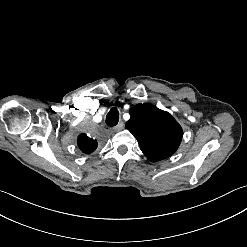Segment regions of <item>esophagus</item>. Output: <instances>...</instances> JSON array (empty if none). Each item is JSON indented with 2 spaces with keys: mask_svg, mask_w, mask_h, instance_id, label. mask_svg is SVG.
Masks as SVG:
<instances>
[{
  "mask_svg": "<svg viewBox=\"0 0 247 247\" xmlns=\"http://www.w3.org/2000/svg\"><path fill=\"white\" fill-rule=\"evenodd\" d=\"M124 126L123 121H120L115 127H113V130L120 131Z\"/></svg>",
  "mask_w": 247,
  "mask_h": 247,
  "instance_id": "esophagus-1",
  "label": "esophagus"
}]
</instances>
